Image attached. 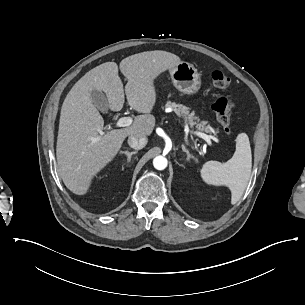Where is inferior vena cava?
Here are the masks:
<instances>
[{"instance_id": "obj_1", "label": "inferior vena cava", "mask_w": 305, "mask_h": 305, "mask_svg": "<svg viewBox=\"0 0 305 305\" xmlns=\"http://www.w3.org/2000/svg\"><path fill=\"white\" fill-rule=\"evenodd\" d=\"M147 137H135L133 135H130L128 138V144L130 147L139 150L145 147L147 144Z\"/></svg>"}]
</instances>
